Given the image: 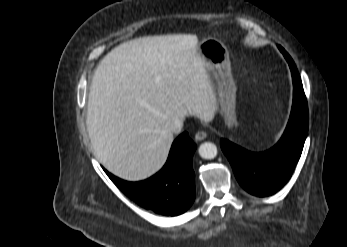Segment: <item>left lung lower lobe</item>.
Instances as JSON below:
<instances>
[{
  "mask_svg": "<svg viewBox=\"0 0 347 247\" xmlns=\"http://www.w3.org/2000/svg\"><path fill=\"white\" fill-rule=\"evenodd\" d=\"M278 48L289 63L294 86L291 115L281 139L262 153H252L225 139L220 141L240 185L259 197L276 193L290 179L308 132L307 101L299 73L289 54Z\"/></svg>",
  "mask_w": 347,
  "mask_h": 247,
  "instance_id": "1",
  "label": "left lung lower lobe"
}]
</instances>
